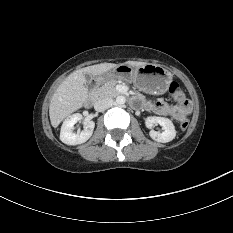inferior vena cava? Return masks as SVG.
I'll use <instances>...</instances> for the list:
<instances>
[{"instance_id": "1", "label": "inferior vena cava", "mask_w": 233, "mask_h": 233, "mask_svg": "<svg viewBox=\"0 0 233 233\" xmlns=\"http://www.w3.org/2000/svg\"><path fill=\"white\" fill-rule=\"evenodd\" d=\"M113 104L112 99H99L94 104V109L98 112H102L108 108H110Z\"/></svg>"}]
</instances>
